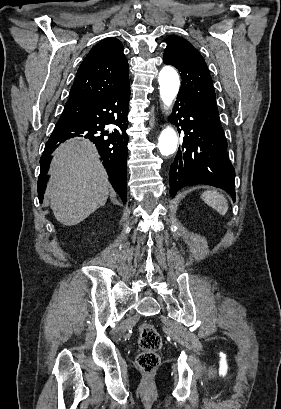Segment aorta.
Masks as SVG:
<instances>
[{
	"mask_svg": "<svg viewBox=\"0 0 281 409\" xmlns=\"http://www.w3.org/2000/svg\"><path fill=\"white\" fill-rule=\"evenodd\" d=\"M158 81L160 85V98L168 109L175 99L180 86L179 75L173 67L165 66L161 69ZM178 138L175 130L167 126L158 139V147L163 156L173 154L177 149Z\"/></svg>",
	"mask_w": 281,
	"mask_h": 409,
	"instance_id": "762f6f07",
	"label": "aorta"
}]
</instances>
